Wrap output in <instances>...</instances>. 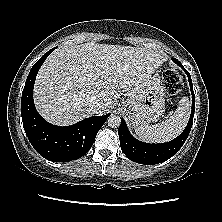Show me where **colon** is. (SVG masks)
<instances>
[{"instance_id":"5ec220e1","label":"colon","mask_w":222,"mask_h":222,"mask_svg":"<svg viewBox=\"0 0 222 222\" xmlns=\"http://www.w3.org/2000/svg\"><path fill=\"white\" fill-rule=\"evenodd\" d=\"M163 86L169 96H176L183 89V81L174 69H168L163 74Z\"/></svg>"}]
</instances>
